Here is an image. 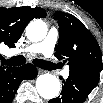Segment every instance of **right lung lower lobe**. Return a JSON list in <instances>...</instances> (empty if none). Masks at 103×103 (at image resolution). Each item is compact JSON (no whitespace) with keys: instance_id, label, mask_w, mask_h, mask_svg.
I'll return each mask as SVG.
<instances>
[{"instance_id":"98d812e1","label":"right lung lower lobe","mask_w":103,"mask_h":103,"mask_svg":"<svg viewBox=\"0 0 103 103\" xmlns=\"http://www.w3.org/2000/svg\"><path fill=\"white\" fill-rule=\"evenodd\" d=\"M37 69L32 64L13 67L0 72V103H11L24 79H34Z\"/></svg>"}]
</instances>
